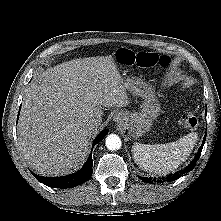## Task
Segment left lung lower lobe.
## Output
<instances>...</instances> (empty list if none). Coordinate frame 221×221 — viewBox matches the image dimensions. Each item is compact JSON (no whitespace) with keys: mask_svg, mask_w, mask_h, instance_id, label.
Segmentation results:
<instances>
[{"mask_svg":"<svg viewBox=\"0 0 221 221\" xmlns=\"http://www.w3.org/2000/svg\"><path fill=\"white\" fill-rule=\"evenodd\" d=\"M205 140H206V135L204 137V141L202 142V145L196 155V157L193 159V161L191 162V164L184 170L182 171H179L178 173H175V174H171L168 176L167 178V181H174V180H177L181 175H183L184 173H187L189 171H191L195 165H196V162L197 160L199 159L200 155H201V151H202V148H203V145L205 143ZM142 181L146 182V183H149L151 182V179L147 178V177H141V176H138ZM155 182H159V181H155Z\"/></svg>","mask_w":221,"mask_h":221,"instance_id":"obj_1","label":"left lung lower lobe"}]
</instances>
